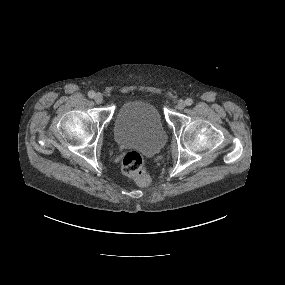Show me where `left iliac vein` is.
<instances>
[{
    "label": "left iliac vein",
    "instance_id": "obj_1",
    "mask_svg": "<svg viewBox=\"0 0 285 285\" xmlns=\"http://www.w3.org/2000/svg\"><path fill=\"white\" fill-rule=\"evenodd\" d=\"M186 104L183 100H179L177 103V109L183 110L185 108Z\"/></svg>",
    "mask_w": 285,
    "mask_h": 285
}]
</instances>
